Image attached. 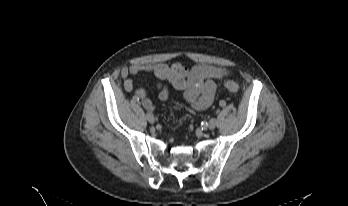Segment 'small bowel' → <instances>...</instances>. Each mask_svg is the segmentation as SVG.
I'll return each instance as SVG.
<instances>
[{
    "label": "small bowel",
    "mask_w": 348,
    "mask_h": 206,
    "mask_svg": "<svg viewBox=\"0 0 348 206\" xmlns=\"http://www.w3.org/2000/svg\"><path fill=\"white\" fill-rule=\"evenodd\" d=\"M148 72L157 80L156 91L159 92V99L166 101L169 98V88L163 84L164 81L169 82L175 89L182 92L185 100L195 110H203L208 108L214 99L216 92L215 80H218L231 71L227 68L211 65H197L191 69L186 68L180 63L168 65L158 63L155 65L134 64L121 70L123 79V87L126 91H134V98L141 101L142 105L149 111L155 109L154 104L149 98V94L145 89L134 88L131 78L133 75Z\"/></svg>",
    "instance_id": "c3829d8e"
}]
</instances>
